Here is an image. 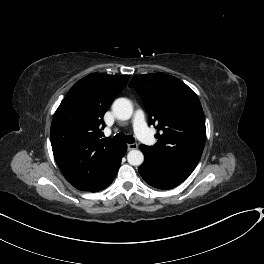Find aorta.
Here are the masks:
<instances>
[{
    "label": "aorta",
    "mask_w": 264,
    "mask_h": 264,
    "mask_svg": "<svg viewBox=\"0 0 264 264\" xmlns=\"http://www.w3.org/2000/svg\"><path fill=\"white\" fill-rule=\"evenodd\" d=\"M112 111L119 120H128L133 113V106L127 98H118L112 104ZM127 161L130 165L139 166L144 161V155L140 150L134 149L127 154Z\"/></svg>",
    "instance_id": "1"
}]
</instances>
